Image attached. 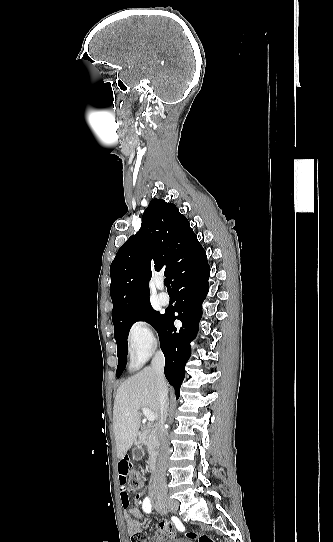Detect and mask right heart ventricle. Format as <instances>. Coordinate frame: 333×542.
<instances>
[{"label": "right heart ventricle", "mask_w": 333, "mask_h": 542, "mask_svg": "<svg viewBox=\"0 0 333 542\" xmlns=\"http://www.w3.org/2000/svg\"><path fill=\"white\" fill-rule=\"evenodd\" d=\"M133 350V349H132ZM132 362L135 366H140L144 362V356H142L139 352L133 350L132 352Z\"/></svg>", "instance_id": "obj_1"}]
</instances>
